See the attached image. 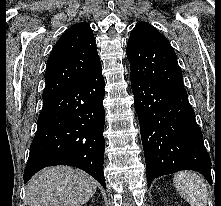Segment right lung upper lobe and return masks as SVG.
<instances>
[{
    "label": "right lung upper lobe",
    "mask_w": 221,
    "mask_h": 206,
    "mask_svg": "<svg viewBox=\"0 0 221 206\" xmlns=\"http://www.w3.org/2000/svg\"><path fill=\"white\" fill-rule=\"evenodd\" d=\"M99 70L101 62L92 29L87 22L74 24L49 55L43 98L80 83Z\"/></svg>",
    "instance_id": "right-lung-upper-lobe-1"
}]
</instances>
